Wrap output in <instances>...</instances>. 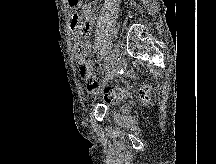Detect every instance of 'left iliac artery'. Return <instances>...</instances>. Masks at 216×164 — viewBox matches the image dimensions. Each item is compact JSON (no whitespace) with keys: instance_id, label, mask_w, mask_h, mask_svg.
<instances>
[{"instance_id":"44dca946","label":"left iliac artery","mask_w":216,"mask_h":164,"mask_svg":"<svg viewBox=\"0 0 216 164\" xmlns=\"http://www.w3.org/2000/svg\"><path fill=\"white\" fill-rule=\"evenodd\" d=\"M114 61L111 59L108 63H107V66H106V69L108 70H111L112 69V63ZM104 74L107 72L105 69L102 71Z\"/></svg>"}]
</instances>
